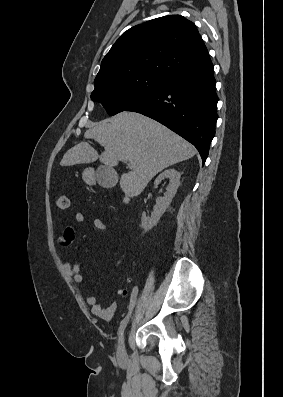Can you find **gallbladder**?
<instances>
[{
  "label": "gallbladder",
  "mask_w": 283,
  "mask_h": 397,
  "mask_svg": "<svg viewBox=\"0 0 283 397\" xmlns=\"http://www.w3.org/2000/svg\"><path fill=\"white\" fill-rule=\"evenodd\" d=\"M97 180L104 188H112L116 185L118 177L112 168L102 166L97 170Z\"/></svg>",
  "instance_id": "obj_1"
}]
</instances>
